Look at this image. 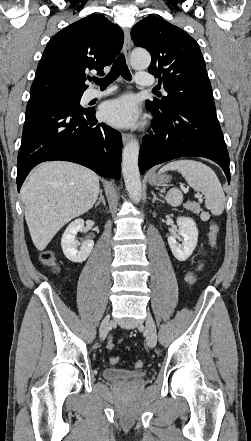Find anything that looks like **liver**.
I'll return each instance as SVG.
<instances>
[{
    "instance_id": "6515ba94",
    "label": "liver",
    "mask_w": 251,
    "mask_h": 441,
    "mask_svg": "<svg viewBox=\"0 0 251 441\" xmlns=\"http://www.w3.org/2000/svg\"><path fill=\"white\" fill-rule=\"evenodd\" d=\"M99 192L98 175L84 166L53 161L34 168L21 199L35 247L43 251L67 222L93 207Z\"/></svg>"
}]
</instances>
